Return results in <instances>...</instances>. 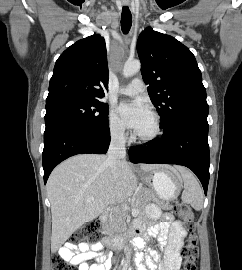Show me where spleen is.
<instances>
[{"label":"spleen","mask_w":242,"mask_h":270,"mask_svg":"<svg viewBox=\"0 0 242 270\" xmlns=\"http://www.w3.org/2000/svg\"><path fill=\"white\" fill-rule=\"evenodd\" d=\"M176 169L181 174L184 182L183 201L190 203L195 210H201L203 207V192L197 179L190 171L183 167H177Z\"/></svg>","instance_id":"1"}]
</instances>
